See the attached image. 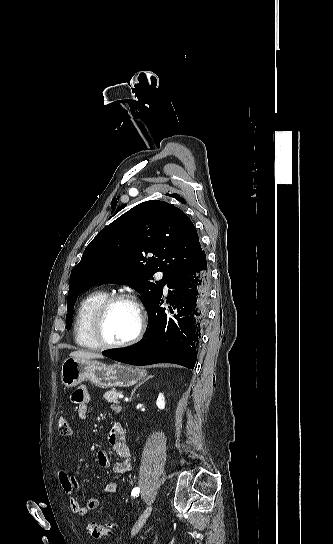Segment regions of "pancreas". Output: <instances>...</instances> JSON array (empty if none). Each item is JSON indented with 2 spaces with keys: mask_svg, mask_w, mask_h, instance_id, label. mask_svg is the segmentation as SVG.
<instances>
[{
  "mask_svg": "<svg viewBox=\"0 0 333 544\" xmlns=\"http://www.w3.org/2000/svg\"><path fill=\"white\" fill-rule=\"evenodd\" d=\"M121 392H118L116 391L115 389H112L110 391H107L104 395H103V398L105 400H107L108 402L110 403H119V400H118V395L120 394Z\"/></svg>",
  "mask_w": 333,
  "mask_h": 544,
  "instance_id": "pancreas-1",
  "label": "pancreas"
}]
</instances>
